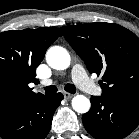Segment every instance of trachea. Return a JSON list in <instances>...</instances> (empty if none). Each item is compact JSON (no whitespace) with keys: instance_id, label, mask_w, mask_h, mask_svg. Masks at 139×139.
Instances as JSON below:
<instances>
[{"instance_id":"trachea-1","label":"trachea","mask_w":139,"mask_h":139,"mask_svg":"<svg viewBox=\"0 0 139 139\" xmlns=\"http://www.w3.org/2000/svg\"><path fill=\"white\" fill-rule=\"evenodd\" d=\"M65 91L75 94L76 87L73 84H66L64 87ZM46 95H51L57 92V87L55 85H50L44 88Z\"/></svg>"}]
</instances>
